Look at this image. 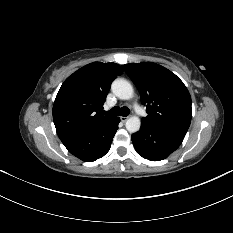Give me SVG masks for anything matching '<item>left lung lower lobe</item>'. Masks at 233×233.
Returning <instances> with one entry per match:
<instances>
[{"label":"left lung lower lobe","mask_w":233,"mask_h":233,"mask_svg":"<svg viewBox=\"0 0 233 233\" xmlns=\"http://www.w3.org/2000/svg\"><path fill=\"white\" fill-rule=\"evenodd\" d=\"M185 135L141 122V129L131 136L137 153L145 159L159 161L167 158L182 143Z\"/></svg>","instance_id":"left-lung-lower-lobe-1"}]
</instances>
